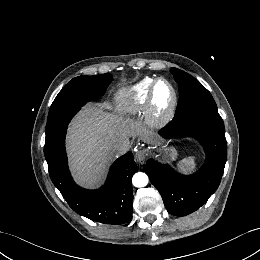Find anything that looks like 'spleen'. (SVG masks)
I'll return each instance as SVG.
<instances>
[{"label": "spleen", "mask_w": 260, "mask_h": 260, "mask_svg": "<svg viewBox=\"0 0 260 260\" xmlns=\"http://www.w3.org/2000/svg\"><path fill=\"white\" fill-rule=\"evenodd\" d=\"M196 157L190 156L184 160H182L178 164V168L183 172H193L196 168Z\"/></svg>", "instance_id": "1"}]
</instances>
